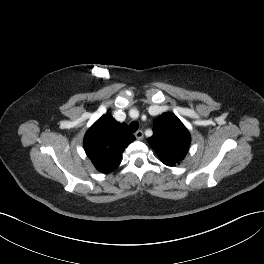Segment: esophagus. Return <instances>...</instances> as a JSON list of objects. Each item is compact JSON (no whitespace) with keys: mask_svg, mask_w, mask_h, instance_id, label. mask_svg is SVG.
Returning <instances> with one entry per match:
<instances>
[{"mask_svg":"<svg viewBox=\"0 0 264 264\" xmlns=\"http://www.w3.org/2000/svg\"><path fill=\"white\" fill-rule=\"evenodd\" d=\"M135 137H136V139H138V140L143 139V131H142V130H138V131L135 133Z\"/></svg>","mask_w":264,"mask_h":264,"instance_id":"obj_1","label":"esophagus"}]
</instances>
